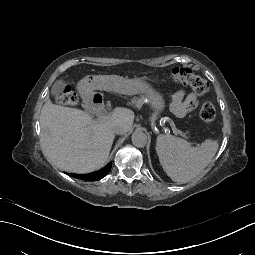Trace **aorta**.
I'll list each match as a JSON object with an SVG mask.
<instances>
[{"mask_svg": "<svg viewBox=\"0 0 255 255\" xmlns=\"http://www.w3.org/2000/svg\"><path fill=\"white\" fill-rule=\"evenodd\" d=\"M131 139L135 147L142 148L147 144V135L140 130L135 131Z\"/></svg>", "mask_w": 255, "mask_h": 255, "instance_id": "aorta-1", "label": "aorta"}]
</instances>
